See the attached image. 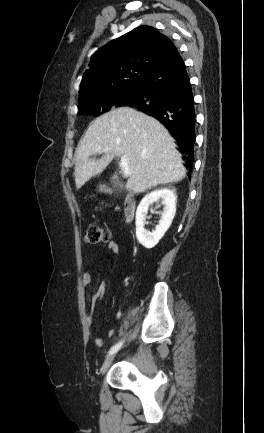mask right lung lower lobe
Masks as SVG:
<instances>
[{
	"label": "right lung lower lobe",
	"instance_id": "right-lung-lower-lobe-1",
	"mask_svg": "<svg viewBox=\"0 0 264 433\" xmlns=\"http://www.w3.org/2000/svg\"><path fill=\"white\" fill-rule=\"evenodd\" d=\"M140 87L139 93L122 106L134 107L160 121L177 140L191 170L196 123L194 98L178 51L157 67Z\"/></svg>",
	"mask_w": 264,
	"mask_h": 433
}]
</instances>
